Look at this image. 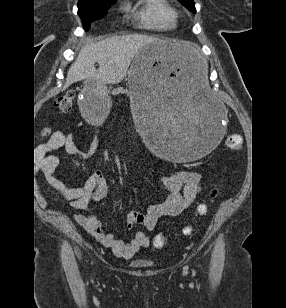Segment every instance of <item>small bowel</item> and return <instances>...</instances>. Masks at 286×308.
Listing matches in <instances>:
<instances>
[{"label":"small bowel","mask_w":286,"mask_h":308,"mask_svg":"<svg viewBox=\"0 0 286 308\" xmlns=\"http://www.w3.org/2000/svg\"><path fill=\"white\" fill-rule=\"evenodd\" d=\"M42 137H48L39 149L40 167L46 182L64 200L70 201L76 210L88 209L90 203L103 199L108 192V181L105 175L94 171L82 187H69L61 182L54 174L58 159L49 152L64 149L68 154L87 158L96 152L98 131L94 132V141L87 151L81 150L71 134L62 131L52 132L49 128L41 131ZM201 173L197 170H180L160 178L161 184L167 192L166 198L151 205L145 212L131 211L126 217L129 228L142 225L145 230H153L158 220L164 216H178L186 211L201 191ZM75 221L84 227L104 247L111 249L113 254L121 258H131L140 249L149 246L150 241L144 231L139 230L130 242L117 238L114 234L103 230L101 222L96 216L76 215Z\"/></svg>","instance_id":"c3829d8e"}]
</instances>
